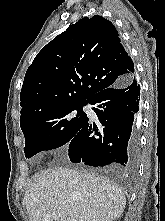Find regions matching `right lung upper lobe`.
<instances>
[{
    "label": "right lung upper lobe",
    "instance_id": "obj_1",
    "mask_svg": "<svg viewBox=\"0 0 165 221\" xmlns=\"http://www.w3.org/2000/svg\"><path fill=\"white\" fill-rule=\"evenodd\" d=\"M134 76L115 26L82 18L49 42L29 66L20 94V123L59 107L88 103L98 92Z\"/></svg>",
    "mask_w": 165,
    "mask_h": 221
}]
</instances>
